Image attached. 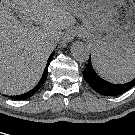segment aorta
<instances>
[{
	"instance_id": "1",
	"label": "aorta",
	"mask_w": 135,
	"mask_h": 135,
	"mask_svg": "<svg viewBox=\"0 0 135 135\" xmlns=\"http://www.w3.org/2000/svg\"><path fill=\"white\" fill-rule=\"evenodd\" d=\"M71 54L78 62H86L89 58L90 51L86 44L76 41L71 45Z\"/></svg>"
}]
</instances>
